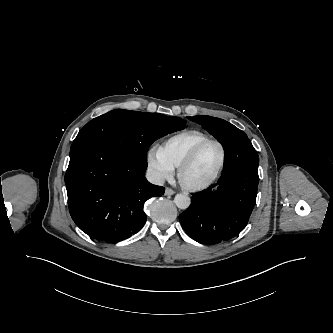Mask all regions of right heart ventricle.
I'll return each mask as SVG.
<instances>
[{
	"label": "right heart ventricle",
	"mask_w": 333,
	"mask_h": 333,
	"mask_svg": "<svg viewBox=\"0 0 333 333\" xmlns=\"http://www.w3.org/2000/svg\"><path fill=\"white\" fill-rule=\"evenodd\" d=\"M208 135L198 130H187L177 133L162 142L159 149L162 155L174 166L178 167L188 153Z\"/></svg>",
	"instance_id": "obj_1"
}]
</instances>
